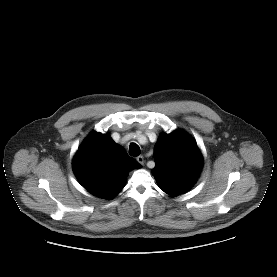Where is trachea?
<instances>
[{
	"label": "trachea",
	"mask_w": 277,
	"mask_h": 277,
	"mask_svg": "<svg viewBox=\"0 0 277 277\" xmlns=\"http://www.w3.org/2000/svg\"><path fill=\"white\" fill-rule=\"evenodd\" d=\"M129 154L131 156H139L140 155V147L136 143H131L129 146Z\"/></svg>",
	"instance_id": "obj_1"
}]
</instances>
